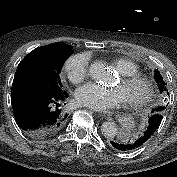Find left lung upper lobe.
Wrapping results in <instances>:
<instances>
[{"label":"left lung upper lobe","instance_id":"1","mask_svg":"<svg viewBox=\"0 0 177 177\" xmlns=\"http://www.w3.org/2000/svg\"><path fill=\"white\" fill-rule=\"evenodd\" d=\"M155 78H156V82L158 83V88H159V91H160V94L165 97L166 94L169 95L168 93V90L166 88L167 86V83L164 82L160 72L158 70L155 71ZM162 107V106H161ZM165 109V107L161 108V112L162 113V110Z\"/></svg>","mask_w":177,"mask_h":177}]
</instances>
